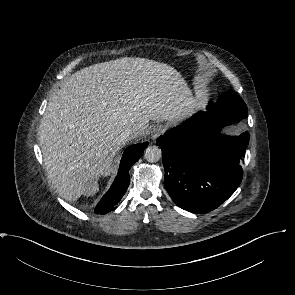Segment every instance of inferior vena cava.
<instances>
[{
    "label": "inferior vena cava",
    "instance_id": "inferior-vena-cava-1",
    "mask_svg": "<svg viewBox=\"0 0 295 295\" xmlns=\"http://www.w3.org/2000/svg\"><path fill=\"white\" fill-rule=\"evenodd\" d=\"M138 134L137 130L133 128H127L125 129L120 135L117 136L116 138V144L117 145H122L134 136Z\"/></svg>",
    "mask_w": 295,
    "mask_h": 295
}]
</instances>
